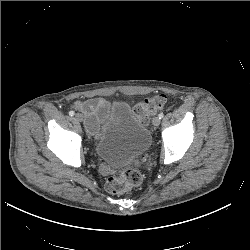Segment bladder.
Here are the masks:
<instances>
[{
  "mask_svg": "<svg viewBox=\"0 0 250 250\" xmlns=\"http://www.w3.org/2000/svg\"><path fill=\"white\" fill-rule=\"evenodd\" d=\"M151 145V134L143 120L126 101L116 103L104 118L94 154L113 166L143 156Z\"/></svg>",
  "mask_w": 250,
  "mask_h": 250,
  "instance_id": "obj_1",
  "label": "bladder"
}]
</instances>
